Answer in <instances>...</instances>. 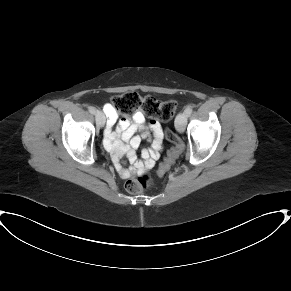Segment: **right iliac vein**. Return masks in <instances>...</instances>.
<instances>
[{
  "label": "right iliac vein",
  "mask_w": 291,
  "mask_h": 291,
  "mask_svg": "<svg viewBox=\"0 0 291 291\" xmlns=\"http://www.w3.org/2000/svg\"><path fill=\"white\" fill-rule=\"evenodd\" d=\"M96 123L99 127H103L106 121L104 114L101 111L95 113Z\"/></svg>",
  "instance_id": "obj_1"
}]
</instances>
